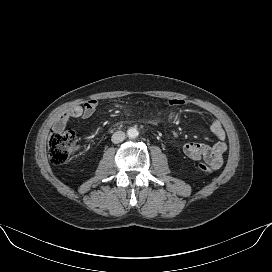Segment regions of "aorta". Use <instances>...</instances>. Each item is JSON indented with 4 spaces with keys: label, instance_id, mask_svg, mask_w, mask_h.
Wrapping results in <instances>:
<instances>
[{
    "label": "aorta",
    "instance_id": "obj_1",
    "mask_svg": "<svg viewBox=\"0 0 272 272\" xmlns=\"http://www.w3.org/2000/svg\"><path fill=\"white\" fill-rule=\"evenodd\" d=\"M127 136L130 138V139H135L138 137V130L136 128H129L127 130Z\"/></svg>",
    "mask_w": 272,
    "mask_h": 272
}]
</instances>
